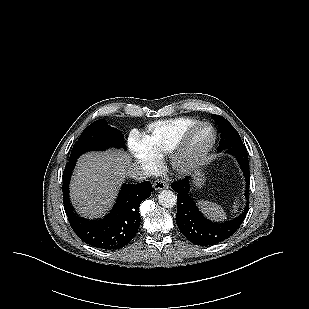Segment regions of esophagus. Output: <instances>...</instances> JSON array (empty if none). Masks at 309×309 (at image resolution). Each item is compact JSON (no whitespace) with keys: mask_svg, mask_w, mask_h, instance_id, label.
Listing matches in <instances>:
<instances>
[{"mask_svg":"<svg viewBox=\"0 0 309 309\" xmlns=\"http://www.w3.org/2000/svg\"><path fill=\"white\" fill-rule=\"evenodd\" d=\"M168 186H169V184L164 180H156L153 184V188L156 191H160V190H163L165 188H168Z\"/></svg>","mask_w":309,"mask_h":309,"instance_id":"1","label":"esophagus"}]
</instances>
